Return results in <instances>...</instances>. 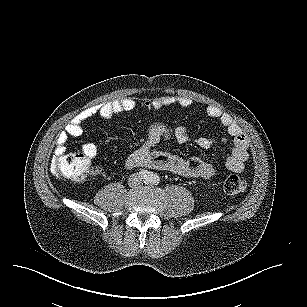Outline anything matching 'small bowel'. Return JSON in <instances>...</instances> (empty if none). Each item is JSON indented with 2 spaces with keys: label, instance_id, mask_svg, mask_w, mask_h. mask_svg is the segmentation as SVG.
Masks as SVG:
<instances>
[{
  "label": "small bowel",
  "instance_id": "1",
  "mask_svg": "<svg viewBox=\"0 0 307 307\" xmlns=\"http://www.w3.org/2000/svg\"><path fill=\"white\" fill-rule=\"evenodd\" d=\"M191 104L192 101L190 98L168 95L158 97L151 101H144L140 105L146 109L158 110L174 105L189 107ZM135 107V100L132 98H123L110 103L92 106L81 111L58 135L54 155H64L68 140L82 135L86 123L92 117L98 115L103 119H111L120 113L132 111ZM206 113L210 118L219 120L225 127L226 136L222 138V141L226 142L230 140L233 144L232 151L226 158L227 168L233 172H241L249 156V142L246 135L229 113L215 106H208ZM170 137H174L180 143H186L191 140L189 132L184 126H179L171 130L164 125H155L148 132L143 144L128 156L126 165L129 168L149 166L192 178L207 179L216 174L214 165L197 157L183 159L168 153L159 152L155 149L161 140ZM194 142L202 149H209L215 144L216 140L209 137H198L194 139ZM82 150L84 155L89 159L97 155V146L94 143L84 144Z\"/></svg>",
  "mask_w": 307,
  "mask_h": 307
}]
</instances>
